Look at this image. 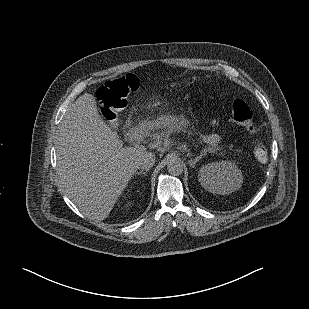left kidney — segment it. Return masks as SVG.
I'll list each match as a JSON object with an SVG mask.
<instances>
[{"instance_id":"left-kidney-1","label":"left kidney","mask_w":309,"mask_h":309,"mask_svg":"<svg viewBox=\"0 0 309 309\" xmlns=\"http://www.w3.org/2000/svg\"><path fill=\"white\" fill-rule=\"evenodd\" d=\"M201 186L219 195L230 194L241 187V170L231 161L212 162L204 165L198 172Z\"/></svg>"}]
</instances>
